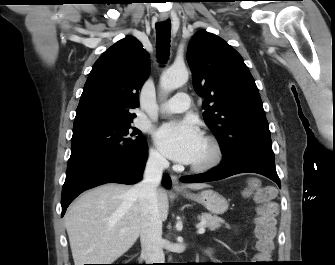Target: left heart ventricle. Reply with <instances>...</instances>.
Masks as SVG:
<instances>
[{
  "mask_svg": "<svg viewBox=\"0 0 335 265\" xmlns=\"http://www.w3.org/2000/svg\"><path fill=\"white\" fill-rule=\"evenodd\" d=\"M211 156V148L210 146L203 140L199 151L196 155V158L192 162V164H199L207 161Z\"/></svg>",
  "mask_w": 335,
  "mask_h": 265,
  "instance_id": "left-heart-ventricle-1",
  "label": "left heart ventricle"
}]
</instances>
